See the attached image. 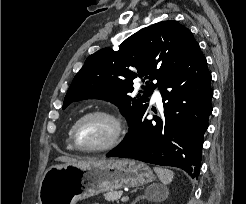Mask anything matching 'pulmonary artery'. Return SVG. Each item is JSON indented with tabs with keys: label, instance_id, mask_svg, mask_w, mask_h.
Segmentation results:
<instances>
[{
	"label": "pulmonary artery",
	"instance_id": "obj_1",
	"mask_svg": "<svg viewBox=\"0 0 246 204\" xmlns=\"http://www.w3.org/2000/svg\"><path fill=\"white\" fill-rule=\"evenodd\" d=\"M152 100L156 103L161 102V94H160V91L158 89L154 90V93L152 95Z\"/></svg>",
	"mask_w": 246,
	"mask_h": 204
}]
</instances>
